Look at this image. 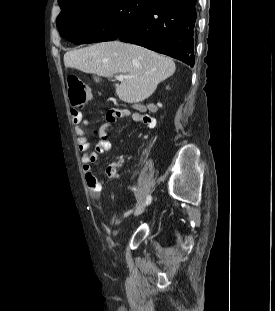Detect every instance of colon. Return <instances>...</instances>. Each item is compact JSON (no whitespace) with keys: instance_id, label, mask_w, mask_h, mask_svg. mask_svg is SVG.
I'll return each instance as SVG.
<instances>
[{"instance_id":"colon-1","label":"colon","mask_w":275,"mask_h":311,"mask_svg":"<svg viewBox=\"0 0 275 311\" xmlns=\"http://www.w3.org/2000/svg\"><path fill=\"white\" fill-rule=\"evenodd\" d=\"M68 87L72 107L75 109L83 107L90 98V89L88 86L83 84L78 78L70 77ZM113 116V111L107 113L108 118H112Z\"/></svg>"}]
</instances>
